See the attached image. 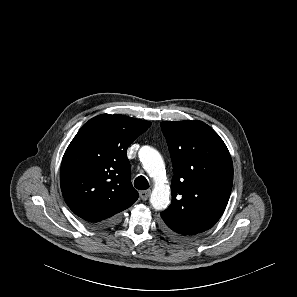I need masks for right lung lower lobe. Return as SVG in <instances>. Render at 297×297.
<instances>
[{"mask_svg": "<svg viewBox=\"0 0 297 297\" xmlns=\"http://www.w3.org/2000/svg\"><path fill=\"white\" fill-rule=\"evenodd\" d=\"M118 220H119V215H116L110 219L101 221L99 223L92 224V226H94L95 228H107V227H110V226L116 224L118 222Z\"/></svg>", "mask_w": 297, "mask_h": 297, "instance_id": "right-lung-lower-lobe-1", "label": "right lung lower lobe"}]
</instances>
